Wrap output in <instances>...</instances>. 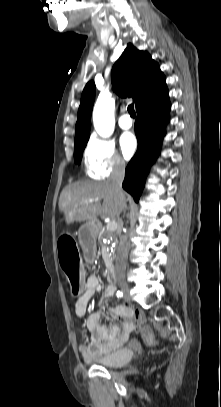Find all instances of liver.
Returning a JSON list of instances; mask_svg holds the SVG:
<instances>
[{
    "label": "liver",
    "instance_id": "liver-1",
    "mask_svg": "<svg viewBox=\"0 0 221 407\" xmlns=\"http://www.w3.org/2000/svg\"><path fill=\"white\" fill-rule=\"evenodd\" d=\"M83 200L93 202L85 204ZM59 209L64 214L66 224L70 225L75 221L95 222L98 216L102 219L119 217L122 205L107 182H76L62 190Z\"/></svg>",
    "mask_w": 221,
    "mask_h": 407
}]
</instances>
